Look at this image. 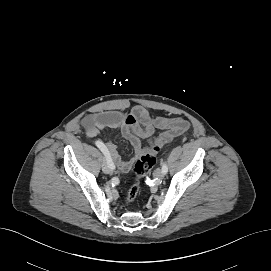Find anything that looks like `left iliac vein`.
<instances>
[{
    "label": "left iliac vein",
    "instance_id": "left-iliac-vein-1",
    "mask_svg": "<svg viewBox=\"0 0 271 271\" xmlns=\"http://www.w3.org/2000/svg\"><path fill=\"white\" fill-rule=\"evenodd\" d=\"M154 176L157 178V179H163L164 177V173L162 172L161 169H157L154 173Z\"/></svg>",
    "mask_w": 271,
    "mask_h": 271
}]
</instances>
